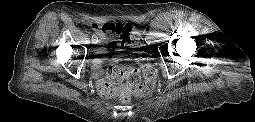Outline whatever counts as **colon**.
Here are the masks:
<instances>
[{"instance_id": "5ec220e1", "label": "colon", "mask_w": 255, "mask_h": 122, "mask_svg": "<svg viewBox=\"0 0 255 122\" xmlns=\"http://www.w3.org/2000/svg\"><path fill=\"white\" fill-rule=\"evenodd\" d=\"M93 28H99L94 25ZM105 33H115L126 38L127 45L134 46L141 51L143 41L138 32H133L130 24L127 23H106L102 26ZM141 71L136 67L111 66L106 73V80L99 83V91L104 96H115L120 94L123 102L130 100V95L147 96L151 94L156 85L157 70L147 61L145 56L141 57ZM120 85V87H116Z\"/></svg>"}]
</instances>
